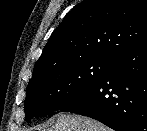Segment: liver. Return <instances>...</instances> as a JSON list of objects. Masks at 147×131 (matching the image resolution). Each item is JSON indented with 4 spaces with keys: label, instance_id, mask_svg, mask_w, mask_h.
<instances>
[{
    "label": "liver",
    "instance_id": "1",
    "mask_svg": "<svg viewBox=\"0 0 147 131\" xmlns=\"http://www.w3.org/2000/svg\"><path fill=\"white\" fill-rule=\"evenodd\" d=\"M47 131H110L96 120L75 114H58L56 123Z\"/></svg>",
    "mask_w": 147,
    "mask_h": 131
}]
</instances>
